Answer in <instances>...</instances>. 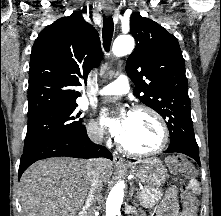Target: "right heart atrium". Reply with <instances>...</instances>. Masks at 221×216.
<instances>
[{"instance_id": "obj_1", "label": "right heart atrium", "mask_w": 221, "mask_h": 216, "mask_svg": "<svg viewBox=\"0 0 221 216\" xmlns=\"http://www.w3.org/2000/svg\"><path fill=\"white\" fill-rule=\"evenodd\" d=\"M87 135L93 142H101L104 138V131L93 119L87 123Z\"/></svg>"}]
</instances>
